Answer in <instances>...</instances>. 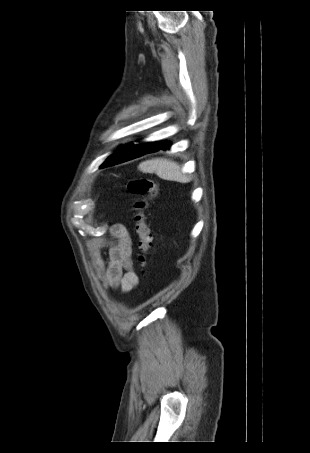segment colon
I'll return each mask as SVG.
<instances>
[{
    "instance_id": "5ec220e1",
    "label": "colon",
    "mask_w": 310,
    "mask_h": 453,
    "mask_svg": "<svg viewBox=\"0 0 310 453\" xmlns=\"http://www.w3.org/2000/svg\"><path fill=\"white\" fill-rule=\"evenodd\" d=\"M128 192L135 197V232L138 237V260L142 267L147 264V253L150 250L153 238L147 223V212L150 203L155 199L159 190L155 182L147 178H134L127 183Z\"/></svg>"
}]
</instances>
